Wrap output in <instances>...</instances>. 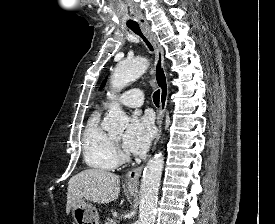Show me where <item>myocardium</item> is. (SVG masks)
I'll return each mask as SVG.
<instances>
[{
  "label": "myocardium",
  "mask_w": 275,
  "mask_h": 224,
  "mask_svg": "<svg viewBox=\"0 0 275 224\" xmlns=\"http://www.w3.org/2000/svg\"><path fill=\"white\" fill-rule=\"evenodd\" d=\"M111 140H112V143L114 146V150H115L118 162H120V163L127 162L129 160V156L119 148L118 140L113 137H111Z\"/></svg>",
  "instance_id": "f54148a6"
}]
</instances>
